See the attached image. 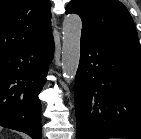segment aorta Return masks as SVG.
Returning <instances> with one entry per match:
<instances>
[{"label": "aorta", "instance_id": "762f6f07", "mask_svg": "<svg viewBox=\"0 0 141 139\" xmlns=\"http://www.w3.org/2000/svg\"><path fill=\"white\" fill-rule=\"evenodd\" d=\"M82 21L77 14H69L63 21L62 73L67 84L76 76L80 60Z\"/></svg>", "mask_w": 141, "mask_h": 139}]
</instances>
